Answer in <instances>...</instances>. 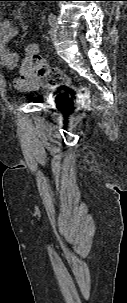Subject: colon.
<instances>
[{
  "instance_id": "colon-1",
  "label": "colon",
  "mask_w": 127,
  "mask_h": 303,
  "mask_svg": "<svg viewBox=\"0 0 127 303\" xmlns=\"http://www.w3.org/2000/svg\"><path fill=\"white\" fill-rule=\"evenodd\" d=\"M30 63L35 72L45 80L49 87L57 88L69 85V78L65 73L57 67L49 66L45 59L37 52L30 54ZM77 93L83 99H89L90 97L89 90L86 87L79 89ZM65 97L68 98L67 95ZM68 100L72 102L70 97Z\"/></svg>"
}]
</instances>
